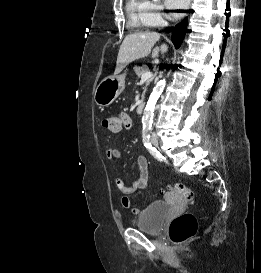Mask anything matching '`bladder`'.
Listing matches in <instances>:
<instances>
[{"label":"bladder","instance_id":"obj_1","mask_svg":"<svg viewBox=\"0 0 261 273\" xmlns=\"http://www.w3.org/2000/svg\"><path fill=\"white\" fill-rule=\"evenodd\" d=\"M170 211V204L165 201H154L146 206L136 219L139 229L147 233H159Z\"/></svg>","mask_w":261,"mask_h":273}]
</instances>
